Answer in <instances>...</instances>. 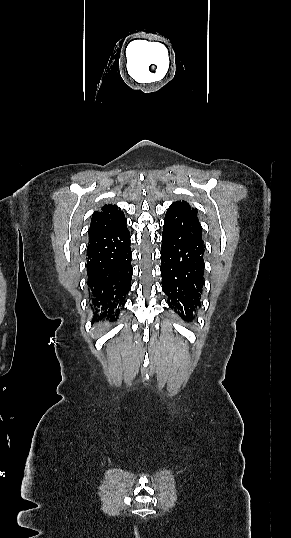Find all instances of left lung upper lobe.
Returning <instances> with one entry per match:
<instances>
[{"instance_id":"5c2ea615","label":"left lung upper lobe","mask_w":291,"mask_h":538,"mask_svg":"<svg viewBox=\"0 0 291 538\" xmlns=\"http://www.w3.org/2000/svg\"><path fill=\"white\" fill-rule=\"evenodd\" d=\"M169 208L197 217V209L191 208L186 201H176ZM176 312L178 313L179 311Z\"/></svg>"}]
</instances>
